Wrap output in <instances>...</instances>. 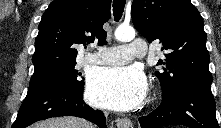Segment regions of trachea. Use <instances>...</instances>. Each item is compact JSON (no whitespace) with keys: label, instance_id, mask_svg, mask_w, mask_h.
I'll return each mask as SVG.
<instances>
[{"label":"trachea","instance_id":"1","mask_svg":"<svg viewBox=\"0 0 221 128\" xmlns=\"http://www.w3.org/2000/svg\"><path fill=\"white\" fill-rule=\"evenodd\" d=\"M126 0H113V13L115 21H119L124 11Z\"/></svg>","mask_w":221,"mask_h":128}]
</instances>
